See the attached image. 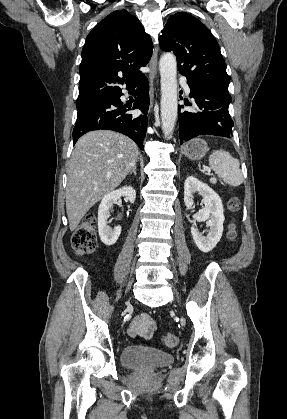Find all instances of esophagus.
<instances>
[{
	"label": "esophagus",
	"instance_id": "esophagus-1",
	"mask_svg": "<svg viewBox=\"0 0 287 419\" xmlns=\"http://www.w3.org/2000/svg\"><path fill=\"white\" fill-rule=\"evenodd\" d=\"M150 97L151 100L153 99V93H154V88H153V83H154V79L157 76V71H158V48L155 47L154 51H153V55L151 57L150 63Z\"/></svg>",
	"mask_w": 287,
	"mask_h": 419
}]
</instances>
